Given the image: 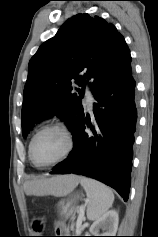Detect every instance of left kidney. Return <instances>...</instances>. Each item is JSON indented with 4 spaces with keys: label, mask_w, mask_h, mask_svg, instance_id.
<instances>
[{
    "label": "left kidney",
    "mask_w": 158,
    "mask_h": 237,
    "mask_svg": "<svg viewBox=\"0 0 158 237\" xmlns=\"http://www.w3.org/2000/svg\"><path fill=\"white\" fill-rule=\"evenodd\" d=\"M119 216L115 210H110L96 220L89 231L92 236H116L118 229ZM100 229L103 231L99 234Z\"/></svg>",
    "instance_id": "obj_1"
}]
</instances>
